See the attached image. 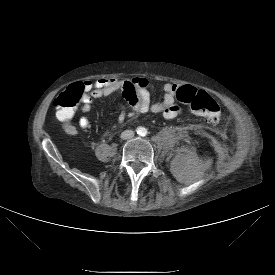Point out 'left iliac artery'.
<instances>
[{
  "label": "left iliac artery",
  "mask_w": 275,
  "mask_h": 275,
  "mask_svg": "<svg viewBox=\"0 0 275 275\" xmlns=\"http://www.w3.org/2000/svg\"><path fill=\"white\" fill-rule=\"evenodd\" d=\"M145 134H147V131H146V130L144 131V136H145Z\"/></svg>",
  "instance_id": "1"
}]
</instances>
